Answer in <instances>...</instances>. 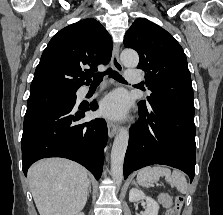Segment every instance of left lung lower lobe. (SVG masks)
Returning a JSON list of instances; mask_svg holds the SVG:
<instances>
[{
	"instance_id": "left-lung-lower-lobe-1",
	"label": "left lung lower lobe",
	"mask_w": 223,
	"mask_h": 215,
	"mask_svg": "<svg viewBox=\"0 0 223 215\" xmlns=\"http://www.w3.org/2000/svg\"><path fill=\"white\" fill-rule=\"evenodd\" d=\"M136 126L130 129L124 178L142 167L164 164L195 174L194 111L166 104L140 105Z\"/></svg>"
}]
</instances>
